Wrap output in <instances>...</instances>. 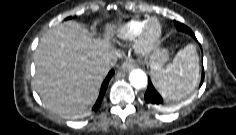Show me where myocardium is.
<instances>
[{"label":"myocardium","instance_id":"obj_1","mask_svg":"<svg viewBox=\"0 0 236 135\" xmlns=\"http://www.w3.org/2000/svg\"><path fill=\"white\" fill-rule=\"evenodd\" d=\"M162 34L163 27L160 20L155 16L147 18L136 40V52L142 56L153 53L160 44Z\"/></svg>","mask_w":236,"mask_h":135}]
</instances>
